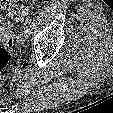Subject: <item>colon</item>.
Masks as SVG:
<instances>
[{
    "mask_svg": "<svg viewBox=\"0 0 113 113\" xmlns=\"http://www.w3.org/2000/svg\"><path fill=\"white\" fill-rule=\"evenodd\" d=\"M0 9L9 15L14 21H22L28 13V6L20 0H0ZM14 44V36L8 35L4 45H0V74L11 60V48Z\"/></svg>",
    "mask_w": 113,
    "mask_h": 113,
    "instance_id": "1",
    "label": "colon"
}]
</instances>
